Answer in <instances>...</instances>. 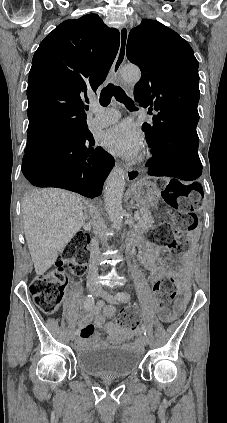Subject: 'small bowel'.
Listing matches in <instances>:
<instances>
[{
  "instance_id": "obj_1",
  "label": "small bowel",
  "mask_w": 227,
  "mask_h": 423,
  "mask_svg": "<svg viewBox=\"0 0 227 423\" xmlns=\"http://www.w3.org/2000/svg\"><path fill=\"white\" fill-rule=\"evenodd\" d=\"M158 251L159 248L156 245L148 244L147 252L141 257L142 263L149 271L150 279L153 283H156L168 274V271L164 267L155 264V254ZM178 268L181 272H183L179 278V286L181 292L183 293V298L175 302L172 310L169 308L165 310L159 309V317L166 323H171L177 319L189 300V294L187 291V274L184 272L181 264L178 265ZM89 311L90 312L82 318L79 324L81 330L76 342L79 348L87 347L95 342L98 339L97 329L99 328H105L109 334L108 337H105L106 343L111 340H130L141 335L140 329L125 331L119 329L114 324L107 322V319L112 317L115 313V307L112 305H104L102 302H99ZM146 315L147 317H151L152 312H147Z\"/></svg>"
}]
</instances>
